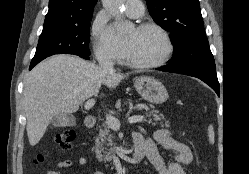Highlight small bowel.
Instances as JSON below:
<instances>
[{
	"label": "small bowel",
	"instance_id": "1",
	"mask_svg": "<svg viewBox=\"0 0 249 174\" xmlns=\"http://www.w3.org/2000/svg\"><path fill=\"white\" fill-rule=\"evenodd\" d=\"M154 141L167 150L174 152L173 159L165 163L159 154L154 142L144 138L140 133L134 134V142L144 144L146 147L145 156L153 166L156 174H186L185 167L193 161V153L189 146L178 141L173 134L166 129H159L154 133ZM77 163L81 166H87L86 157H79ZM75 165L73 160L67 159L58 162V169H67ZM45 174H62L60 170H47ZM93 174H104L100 171H94Z\"/></svg>",
	"mask_w": 249,
	"mask_h": 174
}]
</instances>
